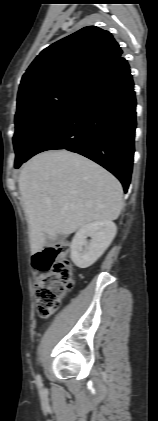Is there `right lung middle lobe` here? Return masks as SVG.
<instances>
[{
    "label": "right lung middle lobe",
    "instance_id": "1",
    "mask_svg": "<svg viewBox=\"0 0 158 421\" xmlns=\"http://www.w3.org/2000/svg\"><path fill=\"white\" fill-rule=\"evenodd\" d=\"M83 84H60L32 93L17 101L13 144L15 168L26 161L46 129L81 91Z\"/></svg>",
    "mask_w": 158,
    "mask_h": 421
}]
</instances>
